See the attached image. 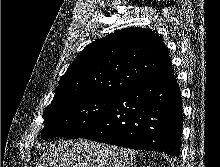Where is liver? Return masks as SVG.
Here are the masks:
<instances>
[{"instance_id": "6515ba94", "label": "liver", "mask_w": 220, "mask_h": 167, "mask_svg": "<svg viewBox=\"0 0 220 167\" xmlns=\"http://www.w3.org/2000/svg\"><path fill=\"white\" fill-rule=\"evenodd\" d=\"M136 153L87 140H65L46 146L36 167H130Z\"/></svg>"}]
</instances>
